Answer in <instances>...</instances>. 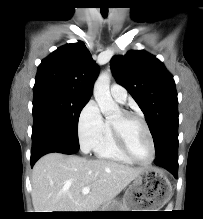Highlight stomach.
<instances>
[{
    "instance_id": "0dacf381",
    "label": "stomach",
    "mask_w": 203,
    "mask_h": 219,
    "mask_svg": "<svg viewBox=\"0 0 203 219\" xmlns=\"http://www.w3.org/2000/svg\"><path fill=\"white\" fill-rule=\"evenodd\" d=\"M172 187L165 173L157 168H145L132 180L124 199V209H152L158 211L171 197ZM113 209L120 208L114 204ZM139 211V210H138Z\"/></svg>"
}]
</instances>
